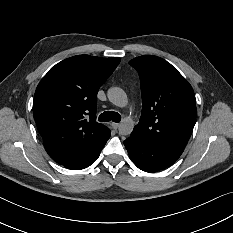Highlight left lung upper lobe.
<instances>
[{
  "label": "left lung upper lobe",
  "instance_id": "5c2ea615",
  "mask_svg": "<svg viewBox=\"0 0 233 233\" xmlns=\"http://www.w3.org/2000/svg\"><path fill=\"white\" fill-rule=\"evenodd\" d=\"M129 64L140 76L143 107L133 132L155 145L182 153L196 123L191 85L164 59L143 55Z\"/></svg>",
  "mask_w": 233,
  "mask_h": 233
}]
</instances>
